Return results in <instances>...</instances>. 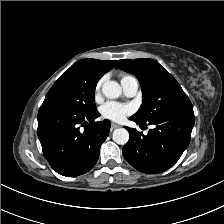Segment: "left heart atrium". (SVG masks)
<instances>
[{
    "mask_svg": "<svg viewBox=\"0 0 224 224\" xmlns=\"http://www.w3.org/2000/svg\"><path fill=\"white\" fill-rule=\"evenodd\" d=\"M102 116L120 122L132 113V107L118 102H107L101 108Z\"/></svg>",
    "mask_w": 224,
    "mask_h": 224,
    "instance_id": "left-heart-atrium-1",
    "label": "left heart atrium"
}]
</instances>
